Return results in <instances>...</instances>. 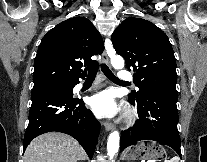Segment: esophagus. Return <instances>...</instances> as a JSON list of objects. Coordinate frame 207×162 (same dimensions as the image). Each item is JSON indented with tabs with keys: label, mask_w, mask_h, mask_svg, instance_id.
Wrapping results in <instances>:
<instances>
[{
	"label": "esophagus",
	"mask_w": 207,
	"mask_h": 162,
	"mask_svg": "<svg viewBox=\"0 0 207 162\" xmlns=\"http://www.w3.org/2000/svg\"><path fill=\"white\" fill-rule=\"evenodd\" d=\"M112 48V42L109 38H106L105 39V51L103 53V61L106 63V64H109V55H108V52H109V49ZM104 127L106 129V131H111L113 129V125L109 122H105L104 123Z\"/></svg>",
	"instance_id": "obj_1"
}]
</instances>
